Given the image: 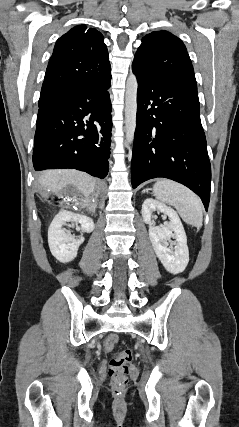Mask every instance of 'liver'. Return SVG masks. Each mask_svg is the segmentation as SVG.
Wrapping results in <instances>:
<instances>
[{
  "label": "liver",
  "mask_w": 239,
  "mask_h": 427,
  "mask_svg": "<svg viewBox=\"0 0 239 427\" xmlns=\"http://www.w3.org/2000/svg\"><path fill=\"white\" fill-rule=\"evenodd\" d=\"M40 185L44 196H47V192L61 195L68 186H73L77 190L73 201L80 208H85L90 206V196L95 190L96 180L89 174L74 169L48 170L41 174Z\"/></svg>",
  "instance_id": "liver-1"
}]
</instances>
